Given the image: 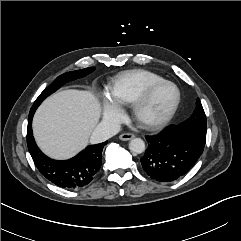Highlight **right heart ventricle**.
<instances>
[{"label": "right heart ventricle", "mask_w": 241, "mask_h": 241, "mask_svg": "<svg viewBox=\"0 0 241 241\" xmlns=\"http://www.w3.org/2000/svg\"><path fill=\"white\" fill-rule=\"evenodd\" d=\"M164 78L152 71L135 69L119 74L112 86L111 96L119 106H131L152 84Z\"/></svg>", "instance_id": "obj_1"}]
</instances>
